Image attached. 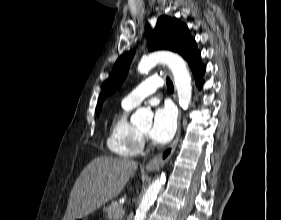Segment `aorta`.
Here are the masks:
<instances>
[{
  "instance_id": "762f6f07",
  "label": "aorta",
  "mask_w": 281,
  "mask_h": 220,
  "mask_svg": "<svg viewBox=\"0 0 281 220\" xmlns=\"http://www.w3.org/2000/svg\"><path fill=\"white\" fill-rule=\"evenodd\" d=\"M164 63L171 70L177 95L179 98V105L186 110L191 102L192 85L191 77L186 66V62L179 55L172 52H158L150 54L141 59L138 64V72L141 74L148 73L156 64ZM151 117V112L145 108L137 109L131 118L133 124H143ZM166 181L165 174L155 180L147 189L141 203L136 211L135 220H145L146 213L154 203L158 193Z\"/></svg>"
}]
</instances>
